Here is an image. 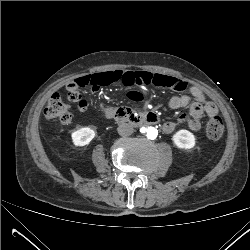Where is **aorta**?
<instances>
[{
	"label": "aorta",
	"mask_w": 250,
	"mask_h": 250,
	"mask_svg": "<svg viewBox=\"0 0 250 250\" xmlns=\"http://www.w3.org/2000/svg\"><path fill=\"white\" fill-rule=\"evenodd\" d=\"M142 133H144L146 137L151 140H154L158 135V131L154 127H146L143 129Z\"/></svg>",
	"instance_id": "1"
}]
</instances>
